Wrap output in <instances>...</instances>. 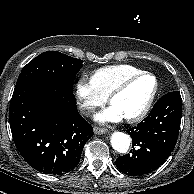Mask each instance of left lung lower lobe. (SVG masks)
Masks as SVG:
<instances>
[{
    "instance_id": "1",
    "label": "left lung lower lobe",
    "mask_w": 194,
    "mask_h": 194,
    "mask_svg": "<svg viewBox=\"0 0 194 194\" xmlns=\"http://www.w3.org/2000/svg\"><path fill=\"white\" fill-rule=\"evenodd\" d=\"M181 116L179 91L162 96L143 121L127 130L133 149L116 159L117 168L126 175L138 176L160 167L176 145Z\"/></svg>"
}]
</instances>
